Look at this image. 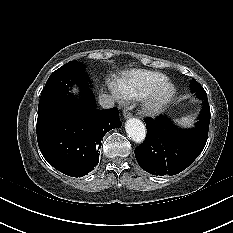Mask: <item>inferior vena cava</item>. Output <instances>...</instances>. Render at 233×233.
Instances as JSON below:
<instances>
[{"instance_id":"1","label":"inferior vena cava","mask_w":233,"mask_h":233,"mask_svg":"<svg viewBox=\"0 0 233 233\" xmlns=\"http://www.w3.org/2000/svg\"><path fill=\"white\" fill-rule=\"evenodd\" d=\"M99 104L103 109L114 107V99L111 95L102 94L99 96Z\"/></svg>"}]
</instances>
